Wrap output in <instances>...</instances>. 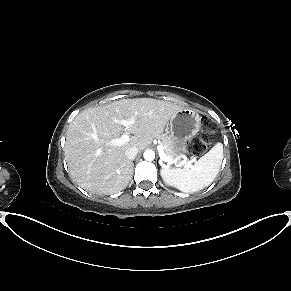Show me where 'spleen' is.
Here are the masks:
<instances>
[{
  "label": "spleen",
  "mask_w": 291,
  "mask_h": 291,
  "mask_svg": "<svg viewBox=\"0 0 291 291\" xmlns=\"http://www.w3.org/2000/svg\"><path fill=\"white\" fill-rule=\"evenodd\" d=\"M223 159V145L217 143L191 167L163 169L164 180L179 190L192 193L208 187L216 178Z\"/></svg>",
  "instance_id": "spleen-1"
}]
</instances>
